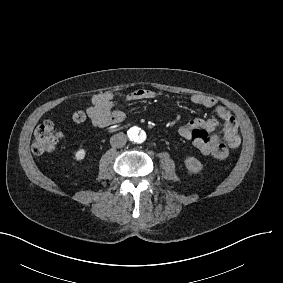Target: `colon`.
Segmentation results:
<instances>
[{
	"label": "colon",
	"mask_w": 283,
	"mask_h": 283,
	"mask_svg": "<svg viewBox=\"0 0 283 283\" xmlns=\"http://www.w3.org/2000/svg\"><path fill=\"white\" fill-rule=\"evenodd\" d=\"M89 113L85 110H77L73 113V120L76 123H83L88 118ZM62 137L61 132L54 122L47 120L39 124L34 132L33 152L36 154H44L55 149L56 144ZM191 138L194 146L202 153H212L213 137L205 128H193L191 130Z\"/></svg>",
	"instance_id": "obj_1"
}]
</instances>
